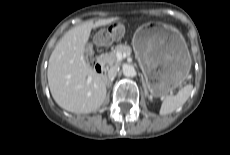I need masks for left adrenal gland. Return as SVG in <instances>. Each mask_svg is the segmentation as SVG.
I'll return each mask as SVG.
<instances>
[{
    "instance_id": "left-adrenal-gland-1",
    "label": "left adrenal gland",
    "mask_w": 230,
    "mask_h": 155,
    "mask_svg": "<svg viewBox=\"0 0 230 155\" xmlns=\"http://www.w3.org/2000/svg\"><path fill=\"white\" fill-rule=\"evenodd\" d=\"M141 77H142V83H143V86H144V89H145V93H146V95H148V93H147V91H146L145 84H144L143 76H141Z\"/></svg>"
}]
</instances>
